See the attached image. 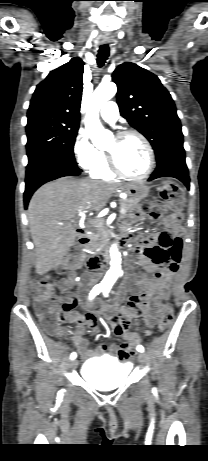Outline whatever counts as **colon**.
Instances as JSON below:
<instances>
[{"label": "colon", "mask_w": 208, "mask_h": 461, "mask_svg": "<svg viewBox=\"0 0 208 461\" xmlns=\"http://www.w3.org/2000/svg\"><path fill=\"white\" fill-rule=\"evenodd\" d=\"M183 203L182 189L174 182H164L159 188V199L143 203L142 209L152 217H157L161 212L169 210L167 220L177 222L181 219L180 209ZM143 251H165L155 250L151 245H145ZM56 288L61 290V283H58L52 276H44L32 283V295L35 302V309L44 329L50 335H58L60 323L58 314L68 309H63L60 297L55 295ZM173 320V310L170 304L166 303L161 308L159 328L165 329ZM140 340H124L119 345V350L127 355L134 354L133 348H139Z\"/></svg>", "instance_id": "colon-1"}]
</instances>
